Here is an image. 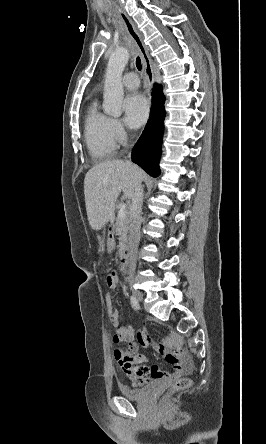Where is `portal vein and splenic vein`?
Here are the masks:
<instances>
[{
    "label": "portal vein and splenic vein",
    "mask_w": 266,
    "mask_h": 444,
    "mask_svg": "<svg viewBox=\"0 0 266 444\" xmlns=\"http://www.w3.org/2000/svg\"><path fill=\"white\" fill-rule=\"evenodd\" d=\"M126 215V205L125 204H122L121 206H120V210H119V213H118V217H124Z\"/></svg>",
    "instance_id": "portal-vein-and-splenic-vein-1"
}]
</instances>
